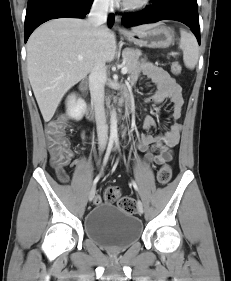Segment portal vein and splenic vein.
I'll use <instances>...</instances> for the list:
<instances>
[{"label": "portal vein and splenic vein", "instance_id": "1", "mask_svg": "<svg viewBox=\"0 0 231 281\" xmlns=\"http://www.w3.org/2000/svg\"><path fill=\"white\" fill-rule=\"evenodd\" d=\"M128 72V68L126 66L122 67L121 73L125 75Z\"/></svg>", "mask_w": 231, "mask_h": 281}]
</instances>
